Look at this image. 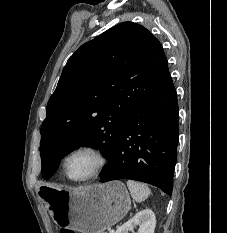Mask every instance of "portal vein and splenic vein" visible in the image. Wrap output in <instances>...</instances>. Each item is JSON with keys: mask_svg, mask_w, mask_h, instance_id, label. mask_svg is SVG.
<instances>
[{"mask_svg": "<svg viewBox=\"0 0 227 233\" xmlns=\"http://www.w3.org/2000/svg\"><path fill=\"white\" fill-rule=\"evenodd\" d=\"M109 233H114V230H113V229H112V230H110V231H109Z\"/></svg>", "mask_w": 227, "mask_h": 233, "instance_id": "18ae733b", "label": "portal vein and splenic vein"}]
</instances>
